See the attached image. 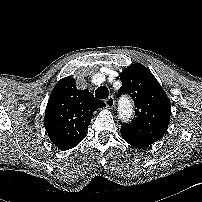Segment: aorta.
I'll use <instances>...</instances> for the list:
<instances>
[{"label": "aorta", "instance_id": "obj_1", "mask_svg": "<svg viewBox=\"0 0 202 202\" xmlns=\"http://www.w3.org/2000/svg\"><path fill=\"white\" fill-rule=\"evenodd\" d=\"M120 116L123 119H128L132 115V105L130 103H126L124 106L121 107Z\"/></svg>", "mask_w": 202, "mask_h": 202}]
</instances>
